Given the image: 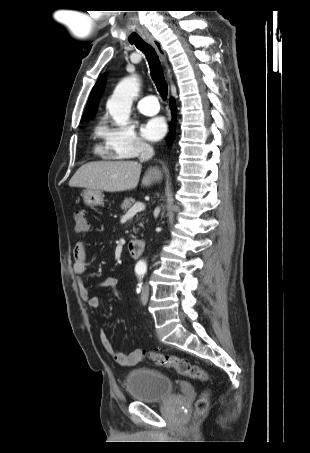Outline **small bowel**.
Listing matches in <instances>:
<instances>
[{"mask_svg":"<svg viewBox=\"0 0 310 453\" xmlns=\"http://www.w3.org/2000/svg\"><path fill=\"white\" fill-rule=\"evenodd\" d=\"M88 250L84 243L78 242L73 250V272L77 279V285L80 297L85 300L89 307L98 309L100 307V299L97 296H92L89 289L84 283V276L88 270ZM118 279L113 276L106 277L95 284L96 288H109L114 291L116 297L119 298L117 291ZM100 342L106 353L121 366L132 367L137 365L144 359V352L141 349H135L130 353L118 351L109 340L104 330L99 332Z\"/></svg>","mask_w":310,"mask_h":453,"instance_id":"1","label":"small bowel"}]
</instances>
